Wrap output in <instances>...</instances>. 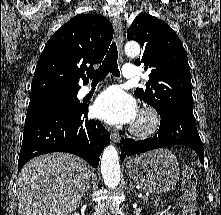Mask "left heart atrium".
<instances>
[{"label": "left heart atrium", "instance_id": "39dd6f15", "mask_svg": "<svg viewBox=\"0 0 221 215\" xmlns=\"http://www.w3.org/2000/svg\"><path fill=\"white\" fill-rule=\"evenodd\" d=\"M92 112L96 118L114 125L133 123L138 116L134 99L118 86L109 87L100 93Z\"/></svg>", "mask_w": 221, "mask_h": 215}]
</instances>
